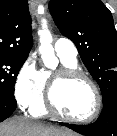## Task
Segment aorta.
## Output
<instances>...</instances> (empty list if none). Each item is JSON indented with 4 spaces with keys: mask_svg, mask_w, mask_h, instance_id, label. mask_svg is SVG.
Here are the masks:
<instances>
[{
    "mask_svg": "<svg viewBox=\"0 0 117 136\" xmlns=\"http://www.w3.org/2000/svg\"><path fill=\"white\" fill-rule=\"evenodd\" d=\"M42 23L43 29L40 33L39 51L45 66L53 69L57 65V58L55 57L54 48L52 46L53 39L50 31L47 29L46 20H43Z\"/></svg>",
    "mask_w": 117,
    "mask_h": 136,
    "instance_id": "obj_1",
    "label": "aorta"
}]
</instances>
